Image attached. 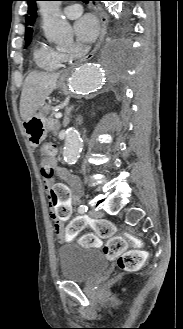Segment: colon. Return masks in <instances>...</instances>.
Instances as JSON below:
<instances>
[{
  "label": "colon",
  "instance_id": "1",
  "mask_svg": "<svg viewBox=\"0 0 183 329\" xmlns=\"http://www.w3.org/2000/svg\"><path fill=\"white\" fill-rule=\"evenodd\" d=\"M56 153L57 147L55 144L45 143L42 146L41 154L43 160L47 162L51 161ZM53 174L54 172L51 166H46L42 170V176L48 181H51ZM87 224L92 226L96 235H85L81 239V243L85 246H98L100 245V238L107 239V242L102 247L103 252L107 258L117 259V264L120 269L125 271L136 270L149 257V253L142 249L140 241L130 239L126 236L116 235L115 227L112 223L106 220H93L87 222L82 219H75L67 226L65 233L66 236L73 237L77 235ZM129 242L135 246V249L126 251Z\"/></svg>",
  "mask_w": 183,
  "mask_h": 329
}]
</instances>
